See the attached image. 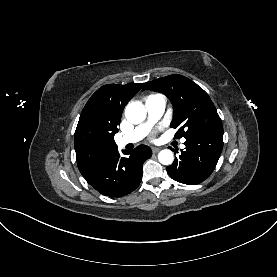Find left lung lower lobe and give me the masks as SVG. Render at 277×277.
I'll use <instances>...</instances> for the list:
<instances>
[{
	"instance_id": "left-lung-lower-lobe-1",
	"label": "left lung lower lobe",
	"mask_w": 277,
	"mask_h": 277,
	"mask_svg": "<svg viewBox=\"0 0 277 277\" xmlns=\"http://www.w3.org/2000/svg\"><path fill=\"white\" fill-rule=\"evenodd\" d=\"M179 158L168 166L169 176L180 183L196 185L206 180L218 162L223 149V129L191 136L184 143Z\"/></svg>"
}]
</instances>
